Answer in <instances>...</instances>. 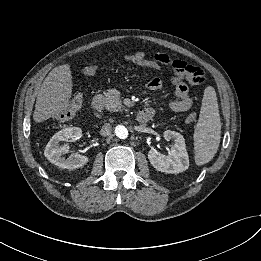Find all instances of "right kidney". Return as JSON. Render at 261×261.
I'll list each match as a JSON object with an SVG mask.
<instances>
[{
  "mask_svg": "<svg viewBox=\"0 0 261 261\" xmlns=\"http://www.w3.org/2000/svg\"><path fill=\"white\" fill-rule=\"evenodd\" d=\"M82 130L79 127H66L57 132L46 145L44 155L54 165L63 169H76L84 166L88 162V157L74 154L72 157L65 158L62 154L67 153L69 146L59 145L61 141L77 140L81 137Z\"/></svg>",
  "mask_w": 261,
  "mask_h": 261,
  "instance_id": "1",
  "label": "right kidney"
}]
</instances>
